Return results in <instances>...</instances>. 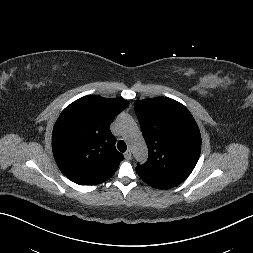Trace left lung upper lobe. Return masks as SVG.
<instances>
[{"label": "left lung upper lobe", "mask_w": 253, "mask_h": 253, "mask_svg": "<svg viewBox=\"0 0 253 253\" xmlns=\"http://www.w3.org/2000/svg\"><path fill=\"white\" fill-rule=\"evenodd\" d=\"M149 157L136 172L149 184L177 186L193 171L201 151L196 121L181 103L166 97L134 102Z\"/></svg>", "instance_id": "5c2ea615"}]
</instances>
